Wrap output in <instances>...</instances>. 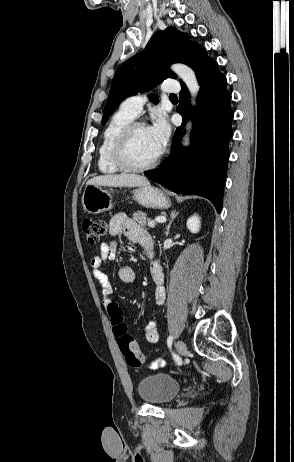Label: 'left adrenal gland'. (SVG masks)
Returning <instances> with one entry per match:
<instances>
[{
  "label": "left adrenal gland",
  "mask_w": 294,
  "mask_h": 462,
  "mask_svg": "<svg viewBox=\"0 0 294 462\" xmlns=\"http://www.w3.org/2000/svg\"><path fill=\"white\" fill-rule=\"evenodd\" d=\"M178 214H179V213L176 212V210H173V211L171 212V214H170L171 219H170V221H169L168 226L166 227L165 236H168V235H169V231H170L171 224H172V222L174 221V219L178 216Z\"/></svg>",
  "instance_id": "obj_1"
}]
</instances>
